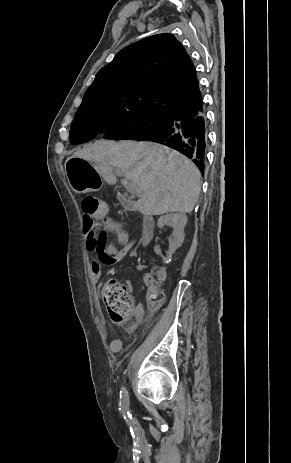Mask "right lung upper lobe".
Listing matches in <instances>:
<instances>
[{"instance_id":"obj_1","label":"right lung upper lobe","mask_w":291,"mask_h":463,"mask_svg":"<svg viewBox=\"0 0 291 463\" xmlns=\"http://www.w3.org/2000/svg\"><path fill=\"white\" fill-rule=\"evenodd\" d=\"M127 102L164 115H197L202 107L194 65L171 34L147 37L122 49L96 74L79 109Z\"/></svg>"}]
</instances>
